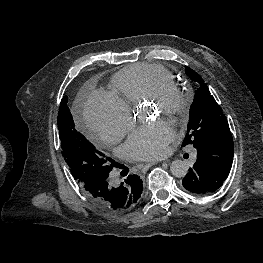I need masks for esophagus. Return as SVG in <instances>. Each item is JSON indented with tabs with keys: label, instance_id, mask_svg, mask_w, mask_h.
Segmentation results:
<instances>
[{
	"label": "esophagus",
	"instance_id": "1",
	"mask_svg": "<svg viewBox=\"0 0 263 263\" xmlns=\"http://www.w3.org/2000/svg\"><path fill=\"white\" fill-rule=\"evenodd\" d=\"M156 163H157V162H154V161H153V162H149V163L146 164V166H147V167H150V166L155 165Z\"/></svg>",
	"mask_w": 263,
	"mask_h": 263
}]
</instances>
